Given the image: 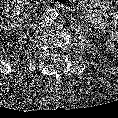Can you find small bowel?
<instances>
[{
	"mask_svg": "<svg viewBox=\"0 0 118 118\" xmlns=\"http://www.w3.org/2000/svg\"><path fill=\"white\" fill-rule=\"evenodd\" d=\"M113 2L115 5L118 3L117 0H113ZM108 7V3L105 0H87L78 4V9L84 14L89 22L101 30H105L108 26L104 17ZM112 23L114 25L118 24V10L115 11L112 16ZM117 44L118 29L111 33L108 40V45L110 48L115 47Z\"/></svg>",
	"mask_w": 118,
	"mask_h": 118,
	"instance_id": "1",
	"label": "small bowel"
}]
</instances>
